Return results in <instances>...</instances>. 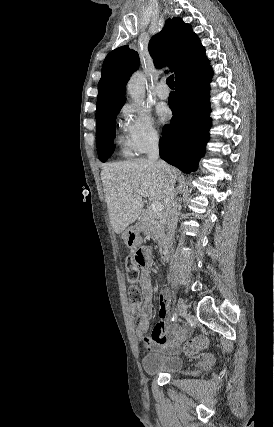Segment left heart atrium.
I'll list each match as a JSON object with an SVG mask.
<instances>
[{
    "label": "left heart atrium",
    "instance_id": "left-heart-atrium-1",
    "mask_svg": "<svg viewBox=\"0 0 274 427\" xmlns=\"http://www.w3.org/2000/svg\"><path fill=\"white\" fill-rule=\"evenodd\" d=\"M155 116L158 123H166L171 118V110L166 104H158L155 108Z\"/></svg>",
    "mask_w": 274,
    "mask_h": 427
}]
</instances>
